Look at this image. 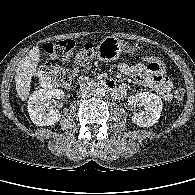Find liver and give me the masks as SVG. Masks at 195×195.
<instances>
[{
  "instance_id": "1",
  "label": "liver",
  "mask_w": 195,
  "mask_h": 195,
  "mask_svg": "<svg viewBox=\"0 0 195 195\" xmlns=\"http://www.w3.org/2000/svg\"><path fill=\"white\" fill-rule=\"evenodd\" d=\"M40 61L39 47H33L27 56H25L20 62L16 70L15 84L17 95L22 101H25L29 96L31 90V79L38 62Z\"/></svg>"
}]
</instances>
